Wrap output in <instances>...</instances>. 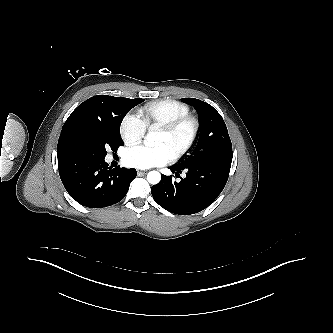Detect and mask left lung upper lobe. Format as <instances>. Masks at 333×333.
Instances as JSON below:
<instances>
[{
  "label": "left lung upper lobe",
  "mask_w": 333,
  "mask_h": 333,
  "mask_svg": "<svg viewBox=\"0 0 333 333\" xmlns=\"http://www.w3.org/2000/svg\"><path fill=\"white\" fill-rule=\"evenodd\" d=\"M198 112L201 131L193 152L180 161L178 166H189L204 161L232 162V144L227 127L217 110L206 102L195 98H183Z\"/></svg>",
  "instance_id": "5c2ea615"
}]
</instances>
